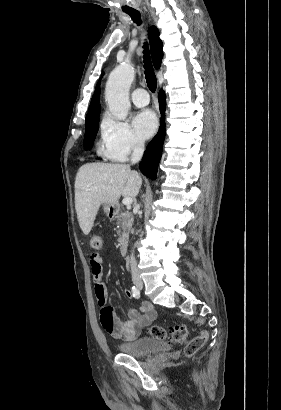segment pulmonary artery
<instances>
[{
	"instance_id": "pulmonary-artery-1",
	"label": "pulmonary artery",
	"mask_w": 281,
	"mask_h": 410,
	"mask_svg": "<svg viewBox=\"0 0 281 410\" xmlns=\"http://www.w3.org/2000/svg\"><path fill=\"white\" fill-rule=\"evenodd\" d=\"M132 102L137 107H144L149 104L150 98L147 91L143 88H137L132 92L131 95Z\"/></svg>"
}]
</instances>
